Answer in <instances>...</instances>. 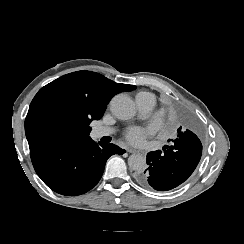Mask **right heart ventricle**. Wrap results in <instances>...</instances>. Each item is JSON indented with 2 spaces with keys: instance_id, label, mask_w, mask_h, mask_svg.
<instances>
[{
  "instance_id": "right-heart-ventricle-1",
  "label": "right heart ventricle",
  "mask_w": 244,
  "mask_h": 244,
  "mask_svg": "<svg viewBox=\"0 0 244 244\" xmlns=\"http://www.w3.org/2000/svg\"><path fill=\"white\" fill-rule=\"evenodd\" d=\"M141 93V92H140ZM140 93H138V94H140ZM138 94L135 96V100H136V97L138 96Z\"/></svg>"
}]
</instances>
